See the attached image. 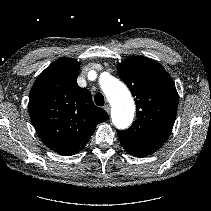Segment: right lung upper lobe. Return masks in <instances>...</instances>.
<instances>
[{"mask_svg": "<svg viewBox=\"0 0 211 211\" xmlns=\"http://www.w3.org/2000/svg\"><path fill=\"white\" fill-rule=\"evenodd\" d=\"M80 64L62 57L36 79L29 95V114L39 137L55 152L78 153L108 114L92 102L88 89L77 84Z\"/></svg>", "mask_w": 211, "mask_h": 211, "instance_id": "right-lung-upper-lobe-1", "label": "right lung upper lobe"}]
</instances>
